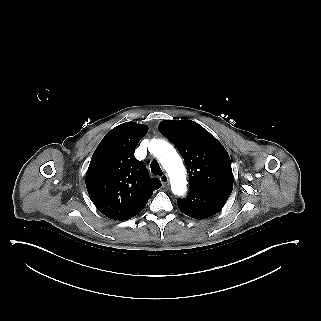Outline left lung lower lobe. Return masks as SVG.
<instances>
[{"label":"left lung lower lobe","mask_w":321,"mask_h":321,"mask_svg":"<svg viewBox=\"0 0 321 321\" xmlns=\"http://www.w3.org/2000/svg\"><path fill=\"white\" fill-rule=\"evenodd\" d=\"M233 186L192 188L187 198L178 199L179 209L195 219H204L220 211L232 192Z\"/></svg>","instance_id":"0a47b994"}]
</instances>
